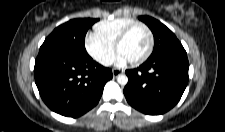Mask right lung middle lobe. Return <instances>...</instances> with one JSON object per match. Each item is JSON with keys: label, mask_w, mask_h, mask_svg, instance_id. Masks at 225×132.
Segmentation results:
<instances>
[{"label": "right lung middle lobe", "mask_w": 225, "mask_h": 132, "mask_svg": "<svg viewBox=\"0 0 225 132\" xmlns=\"http://www.w3.org/2000/svg\"><path fill=\"white\" fill-rule=\"evenodd\" d=\"M98 19H73L58 26L44 41L40 49H53L86 55L85 35Z\"/></svg>", "instance_id": "1"}]
</instances>
